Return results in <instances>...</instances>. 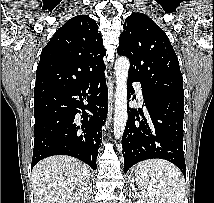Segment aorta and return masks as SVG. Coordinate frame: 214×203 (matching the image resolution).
<instances>
[{"label": "aorta", "instance_id": "762f6f07", "mask_svg": "<svg viewBox=\"0 0 214 203\" xmlns=\"http://www.w3.org/2000/svg\"><path fill=\"white\" fill-rule=\"evenodd\" d=\"M130 63L126 57L115 61L116 93L114 114V136L120 139L123 135L127 120V78Z\"/></svg>", "mask_w": 214, "mask_h": 203}]
</instances>
